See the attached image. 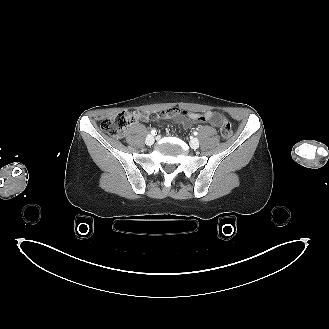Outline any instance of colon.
I'll return each instance as SVG.
<instances>
[{"label":"colon","mask_w":329,"mask_h":329,"mask_svg":"<svg viewBox=\"0 0 329 329\" xmlns=\"http://www.w3.org/2000/svg\"><path fill=\"white\" fill-rule=\"evenodd\" d=\"M137 119L135 113L129 111L119 112L111 117L104 119L101 122V129L107 135L114 138H121L126 131V128ZM223 138L228 139L232 136L233 130L230 122L224 120L220 129Z\"/></svg>","instance_id":"colon-1"}]
</instances>
